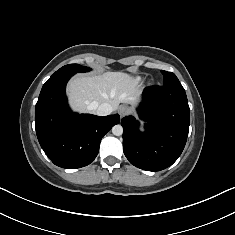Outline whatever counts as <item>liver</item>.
<instances>
[{"label":"liver","instance_id":"liver-1","mask_svg":"<svg viewBox=\"0 0 235 235\" xmlns=\"http://www.w3.org/2000/svg\"><path fill=\"white\" fill-rule=\"evenodd\" d=\"M71 107L79 112L96 113L91 109L108 103L117 110L120 103L135 105L140 91L133 78L122 72H105L102 75H80L67 86Z\"/></svg>","mask_w":235,"mask_h":235}]
</instances>
